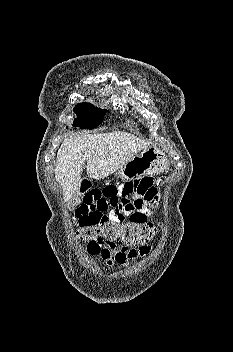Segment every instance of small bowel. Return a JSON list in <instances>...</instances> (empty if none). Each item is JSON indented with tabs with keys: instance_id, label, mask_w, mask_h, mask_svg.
I'll return each mask as SVG.
<instances>
[{
	"instance_id": "obj_1",
	"label": "small bowel",
	"mask_w": 233,
	"mask_h": 352,
	"mask_svg": "<svg viewBox=\"0 0 233 352\" xmlns=\"http://www.w3.org/2000/svg\"><path fill=\"white\" fill-rule=\"evenodd\" d=\"M79 203L75 210L77 223L115 221L120 224L151 222L159 194L151 177L127 181L120 185L96 187L83 180L79 188ZM148 247L128 248L116 241H97L87 245V253L98 256L106 265H127L148 252Z\"/></svg>"
}]
</instances>
